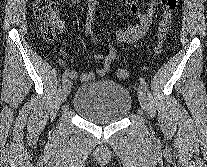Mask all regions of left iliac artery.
I'll use <instances>...</instances> for the list:
<instances>
[{"label":"left iliac artery","mask_w":207,"mask_h":167,"mask_svg":"<svg viewBox=\"0 0 207 167\" xmlns=\"http://www.w3.org/2000/svg\"><path fill=\"white\" fill-rule=\"evenodd\" d=\"M139 80H140V84H141L142 88L146 92L147 91V85H146V82H145L144 78L140 77Z\"/></svg>","instance_id":"1"}]
</instances>
